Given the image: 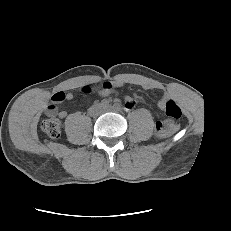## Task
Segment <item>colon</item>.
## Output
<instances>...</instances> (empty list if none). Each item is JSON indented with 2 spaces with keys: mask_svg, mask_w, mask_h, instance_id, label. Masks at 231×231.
I'll list each match as a JSON object with an SVG mask.
<instances>
[{
  "mask_svg": "<svg viewBox=\"0 0 231 231\" xmlns=\"http://www.w3.org/2000/svg\"><path fill=\"white\" fill-rule=\"evenodd\" d=\"M103 88H109V83H104ZM91 90L92 88L90 86H85L82 88V91L84 93H90ZM56 100H59V97L57 95L53 96L52 102L48 106V111L50 114L45 117L41 123L42 130L51 138H58L61 134L60 121L53 115ZM162 107L165 115L170 119L178 120L181 118V108L172 99L164 100ZM172 128L173 125L171 123L168 124L166 128H164L161 123H158L156 126L157 135L160 137L166 136Z\"/></svg>",
  "mask_w": 231,
  "mask_h": 231,
  "instance_id": "1",
  "label": "colon"
}]
</instances>
